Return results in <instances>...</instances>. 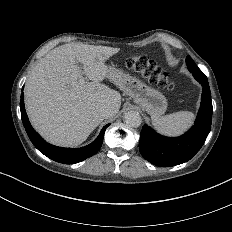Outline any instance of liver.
<instances>
[{"instance_id":"liver-1","label":"liver","mask_w":232,"mask_h":232,"mask_svg":"<svg viewBox=\"0 0 232 232\" xmlns=\"http://www.w3.org/2000/svg\"><path fill=\"white\" fill-rule=\"evenodd\" d=\"M119 50L64 44L36 64L25 85V106L32 126L47 142L78 146L102 122L100 107H110L112 116L118 113L120 93L100 82L108 72L105 61ZM83 74L92 82L80 83Z\"/></svg>"}]
</instances>
